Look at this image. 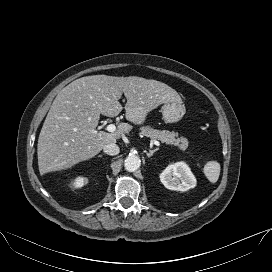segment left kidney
<instances>
[{"instance_id": "5707ae66", "label": "left kidney", "mask_w": 272, "mask_h": 272, "mask_svg": "<svg viewBox=\"0 0 272 272\" xmlns=\"http://www.w3.org/2000/svg\"><path fill=\"white\" fill-rule=\"evenodd\" d=\"M160 181L167 189L182 192L196 185V178L185 162L168 165L160 174Z\"/></svg>"}]
</instances>
